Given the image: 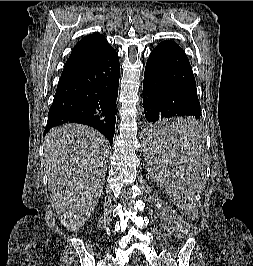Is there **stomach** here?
I'll list each match as a JSON object with an SVG mask.
<instances>
[{
  "label": "stomach",
  "instance_id": "obj_1",
  "mask_svg": "<svg viewBox=\"0 0 253 266\" xmlns=\"http://www.w3.org/2000/svg\"><path fill=\"white\" fill-rule=\"evenodd\" d=\"M201 137L200 136H198V140L200 139Z\"/></svg>",
  "mask_w": 253,
  "mask_h": 266
}]
</instances>
